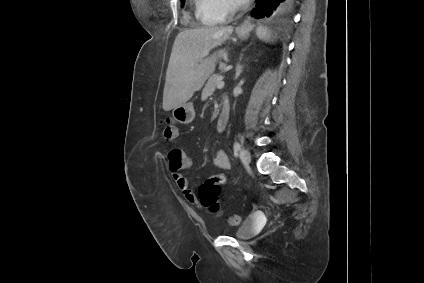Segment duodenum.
I'll return each mask as SVG.
<instances>
[{
	"label": "duodenum",
	"instance_id": "410a0bca",
	"mask_svg": "<svg viewBox=\"0 0 424 283\" xmlns=\"http://www.w3.org/2000/svg\"><path fill=\"white\" fill-rule=\"evenodd\" d=\"M230 105L227 100L222 102L220 115L217 122V129L222 132L226 129L229 120Z\"/></svg>",
	"mask_w": 424,
	"mask_h": 283
}]
</instances>
